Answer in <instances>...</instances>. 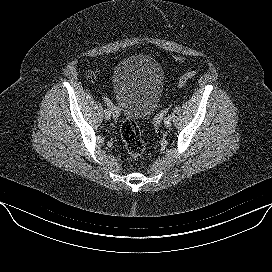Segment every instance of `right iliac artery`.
<instances>
[{
  "mask_svg": "<svg viewBox=\"0 0 272 272\" xmlns=\"http://www.w3.org/2000/svg\"><path fill=\"white\" fill-rule=\"evenodd\" d=\"M103 114H108V109H103Z\"/></svg>",
  "mask_w": 272,
  "mask_h": 272,
  "instance_id": "82829eb1",
  "label": "right iliac artery"
}]
</instances>
